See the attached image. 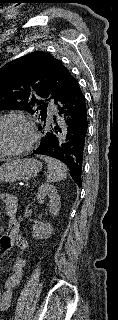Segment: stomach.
Listing matches in <instances>:
<instances>
[{
  "mask_svg": "<svg viewBox=\"0 0 118 320\" xmlns=\"http://www.w3.org/2000/svg\"><path fill=\"white\" fill-rule=\"evenodd\" d=\"M42 162L35 158H17L0 166V183L34 178L42 170Z\"/></svg>",
  "mask_w": 118,
  "mask_h": 320,
  "instance_id": "obj_1",
  "label": "stomach"
}]
</instances>
